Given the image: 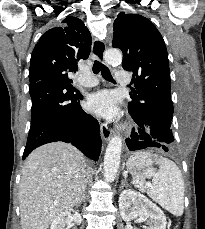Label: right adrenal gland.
<instances>
[{"label": "right adrenal gland", "instance_id": "1", "mask_svg": "<svg viewBox=\"0 0 205 229\" xmlns=\"http://www.w3.org/2000/svg\"><path fill=\"white\" fill-rule=\"evenodd\" d=\"M85 194H86V190H85V187H84L82 195H81V198H80V200L78 202L79 205L85 200Z\"/></svg>", "mask_w": 205, "mask_h": 229}]
</instances>
